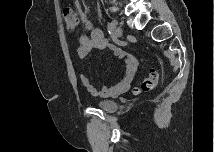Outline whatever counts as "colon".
Segmentation results:
<instances>
[{"label":"colon","instance_id":"5ec220e1","mask_svg":"<svg viewBox=\"0 0 215 152\" xmlns=\"http://www.w3.org/2000/svg\"><path fill=\"white\" fill-rule=\"evenodd\" d=\"M63 19L65 25L69 30H74L79 22L77 13L69 7H66L63 10ZM158 79H159L158 71L152 69L150 73L143 79L141 84L133 89V92L138 94L141 92L152 91L156 87Z\"/></svg>","mask_w":215,"mask_h":152}]
</instances>
